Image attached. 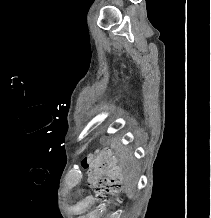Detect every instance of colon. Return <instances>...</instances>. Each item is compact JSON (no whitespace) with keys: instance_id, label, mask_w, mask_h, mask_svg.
<instances>
[{"instance_id":"colon-1","label":"colon","mask_w":211,"mask_h":218,"mask_svg":"<svg viewBox=\"0 0 211 218\" xmlns=\"http://www.w3.org/2000/svg\"><path fill=\"white\" fill-rule=\"evenodd\" d=\"M82 165L88 171L89 183L102 194L103 199L116 197L122 191V173L112 152L97 150L90 153Z\"/></svg>"}]
</instances>
